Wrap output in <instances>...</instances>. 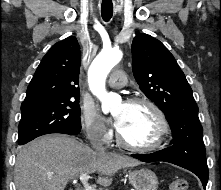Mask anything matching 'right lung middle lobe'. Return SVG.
I'll return each mask as SVG.
<instances>
[{"mask_svg": "<svg viewBox=\"0 0 221 190\" xmlns=\"http://www.w3.org/2000/svg\"><path fill=\"white\" fill-rule=\"evenodd\" d=\"M21 113L19 145L45 134L77 135L81 131L79 98L21 105Z\"/></svg>", "mask_w": 221, "mask_h": 190, "instance_id": "dd1d6c3e", "label": "right lung middle lobe"}]
</instances>
